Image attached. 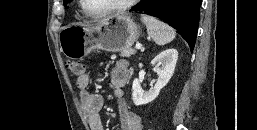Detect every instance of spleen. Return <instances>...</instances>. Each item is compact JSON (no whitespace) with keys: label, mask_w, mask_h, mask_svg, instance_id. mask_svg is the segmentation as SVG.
Instances as JSON below:
<instances>
[{"label":"spleen","mask_w":257,"mask_h":130,"mask_svg":"<svg viewBox=\"0 0 257 130\" xmlns=\"http://www.w3.org/2000/svg\"><path fill=\"white\" fill-rule=\"evenodd\" d=\"M141 21L146 25L148 35L153 38L157 45L170 43L176 36L172 27L153 16L142 14Z\"/></svg>","instance_id":"3e777b00"}]
</instances>
